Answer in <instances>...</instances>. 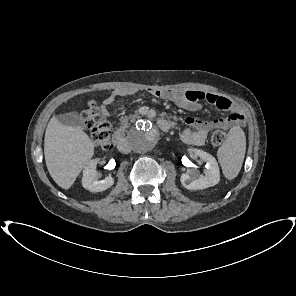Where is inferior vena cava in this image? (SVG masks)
<instances>
[{
	"label": "inferior vena cava",
	"mask_w": 296,
	"mask_h": 296,
	"mask_svg": "<svg viewBox=\"0 0 296 296\" xmlns=\"http://www.w3.org/2000/svg\"><path fill=\"white\" fill-rule=\"evenodd\" d=\"M118 148L123 153H129L130 152V143L127 139H124L119 145Z\"/></svg>",
	"instance_id": "obj_1"
}]
</instances>
